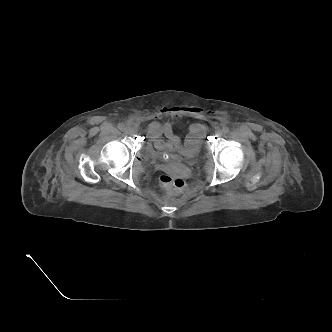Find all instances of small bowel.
<instances>
[{
  "mask_svg": "<svg viewBox=\"0 0 332 332\" xmlns=\"http://www.w3.org/2000/svg\"><path fill=\"white\" fill-rule=\"evenodd\" d=\"M189 112L187 108L180 106L163 107L152 114V121L147 126V134L157 150L179 151L185 146H194L201 142L206 133L203 124L196 123L188 127L184 139L174 134L173 121L160 123L158 119L163 117L177 118Z\"/></svg>",
  "mask_w": 332,
  "mask_h": 332,
  "instance_id": "obj_1",
  "label": "small bowel"
}]
</instances>
